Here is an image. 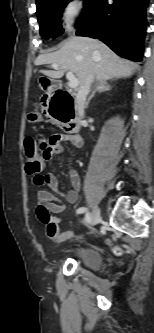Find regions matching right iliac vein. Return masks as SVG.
Here are the masks:
<instances>
[{
	"instance_id": "obj_1",
	"label": "right iliac vein",
	"mask_w": 154,
	"mask_h": 333,
	"mask_svg": "<svg viewBox=\"0 0 154 333\" xmlns=\"http://www.w3.org/2000/svg\"><path fill=\"white\" fill-rule=\"evenodd\" d=\"M100 220V209L98 206L94 207L92 214H91V220L89 224V228H92L94 225H96Z\"/></svg>"
}]
</instances>
